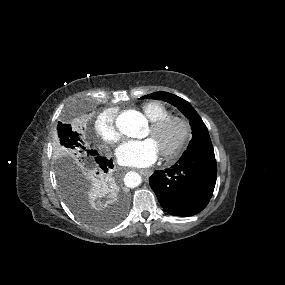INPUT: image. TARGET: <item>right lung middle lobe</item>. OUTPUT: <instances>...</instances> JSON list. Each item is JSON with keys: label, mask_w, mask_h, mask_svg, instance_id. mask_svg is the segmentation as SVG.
I'll use <instances>...</instances> for the list:
<instances>
[{"label": "right lung middle lobe", "mask_w": 285, "mask_h": 285, "mask_svg": "<svg viewBox=\"0 0 285 285\" xmlns=\"http://www.w3.org/2000/svg\"><path fill=\"white\" fill-rule=\"evenodd\" d=\"M59 159L57 176L61 192L71 210L81 219L97 227H109L117 223L123 211L110 220L95 217L88 207V191L95 182H101L102 173L95 160L96 150L85 148L79 133L69 124H58Z\"/></svg>", "instance_id": "1"}]
</instances>
